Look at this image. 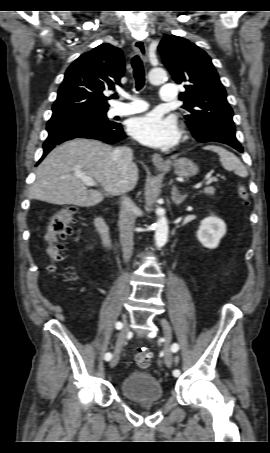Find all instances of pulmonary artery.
<instances>
[{"label":"pulmonary artery","mask_w":270,"mask_h":453,"mask_svg":"<svg viewBox=\"0 0 270 453\" xmlns=\"http://www.w3.org/2000/svg\"><path fill=\"white\" fill-rule=\"evenodd\" d=\"M159 94L162 100L173 101L176 98V87L173 84L163 85ZM147 108V104L141 101H134L115 110L116 115L124 116L139 113Z\"/></svg>","instance_id":"pulmonary-artery-1"}]
</instances>
